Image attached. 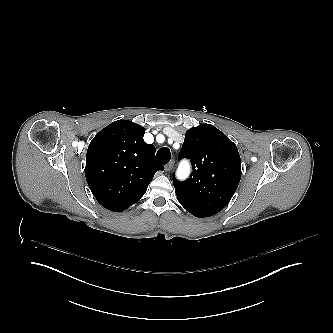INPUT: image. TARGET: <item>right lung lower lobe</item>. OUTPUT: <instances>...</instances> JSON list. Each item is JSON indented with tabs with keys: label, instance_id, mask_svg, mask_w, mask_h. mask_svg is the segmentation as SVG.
Instances as JSON below:
<instances>
[{
	"label": "right lung lower lobe",
	"instance_id": "98d812e1",
	"mask_svg": "<svg viewBox=\"0 0 333 333\" xmlns=\"http://www.w3.org/2000/svg\"><path fill=\"white\" fill-rule=\"evenodd\" d=\"M144 194L145 193L130 197L125 202H123L122 204H120V205L117 206V212L123 211V210L127 209L132 204L136 203Z\"/></svg>",
	"mask_w": 333,
	"mask_h": 333
}]
</instances>
